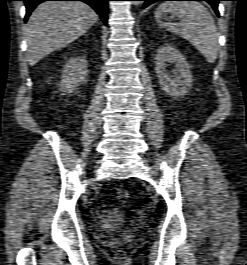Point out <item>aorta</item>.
I'll list each match as a JSON object with an SVG mask.
<instances>
[{
	"mask_svg": "<svg viewBox=\"0 0 247 265\" xmlns=\"http://www.w3.org/2000/svg\"><path fill=\"white\" fill-rule=\"evenodd\" d=\"M134 3H135V4H138L139 2L136 1V2H134Z\"/></svg>",
	"mask_w": 247,
	"mask_h": 265,
	"instance_id": "aorta-1",
	"label": "aorta"
}]
</instances>
